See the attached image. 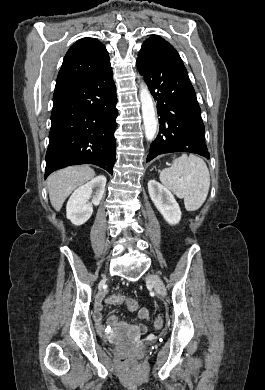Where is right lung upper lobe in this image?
I'll return each instance as SVG.
<instances>
[{"instance_id":"cb5924a9","label":"right lung upper lobe","mask_w":265,"mask_h":390,"mask_svg":"<svg viewBox=\"0 0 265 390\" xmlns=\"http://www.w3.org/2000/svg\"><path fill=\"white\" fill-rule=\"evenodd\" d=\"M110 63L105 46L94 38L75 42L66 53L59 71L56 87L85 78Z\"/></svg>"}]
</instances>
